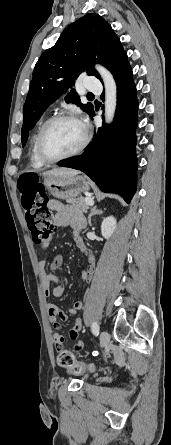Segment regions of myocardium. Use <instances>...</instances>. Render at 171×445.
<instances>
[{"label":"myocardium","instance_id":"myocardium-1","mask_svg":"<svg viewBox=\"0 0 171 445\" xmlns=\"http://www.w3.org/2000/svg\"><path fill=\"white\" fill-rule=\"evenodd\" d=\"M60 121H74V122L78 123L82 127V130H83V139H82L80 145L75 150H73L65 155L51 158V157H48L43 151V148H42L43 139H44V136H45L46 132L48 131V129L52 125H54L55 123L60 122ZM89 140H90L89 129L83 119H81L80 117H78L74 114H69V113L58 114V115L52 116L51 118L46 120L45 123L42 125V127L38 133L37 139H36V145H35L36 154H37L38 158L45 164L57 163L62 160H65V159L75 157V156L79 155L80 153H82L83 150L87 147Z\"/></svg>","mask_w":171,"mask_h":445}]
</instances>
